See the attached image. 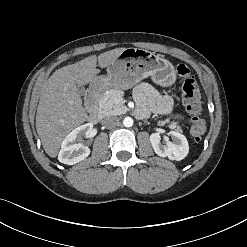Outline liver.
<instances>
[{
	"mask_svg": "<svg viewBox=\"0 0 247 247\" xmlns=\"http://www.w3.org/2000/svg\"><path fill=\"white\" fill-rule=\"evenodd\" d=\"M126 48H116L91 55L74 64L56 70L40 89L36 114V131L45 152L52 158L58 154L64 138L77 126L84 123L88 114L82 106L77 91L78 85H86L108 67Z\"/></svg>",
	"mask_w": 247,
	"mask_h": 247,
	"instance_id": "liver-1",
	"label": "liver"
}]
</instances>
